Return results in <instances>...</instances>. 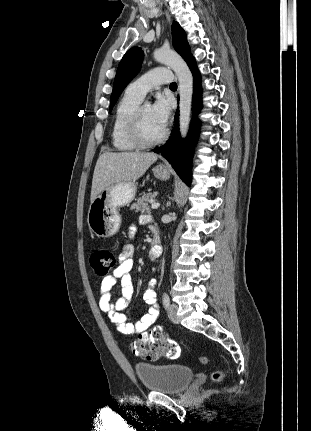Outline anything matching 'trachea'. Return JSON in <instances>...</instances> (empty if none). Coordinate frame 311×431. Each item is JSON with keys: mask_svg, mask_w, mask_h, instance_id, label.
Segmentation results:
<instances>
[{"mask_svg": "<svg viewBox=\"0 0 311 431\" xmlns=\"http://www.w3.org/2000/svg\"><path fill=\"white\" fill-rule=\"evenodd\" d=\"M170 88H177L176 83H171V84H170Z\"/></svg>", "mask_w": 311, "mask_h": 431, "instance_id": "trachea-1", "label": "trachea"}]
</instances>
